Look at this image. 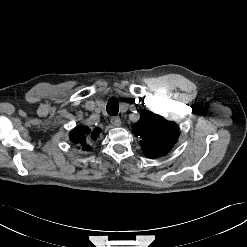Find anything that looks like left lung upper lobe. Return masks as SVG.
<instances>
[{
  "label": "left lung upper lobe",
  "instance_id": "left-lung-upper-lobe-1",
  "mask_svg": "<svg viewBox=\"0 0 247 247\" xmlns=\"http://www.w3.org/2000/svg\"><path fill=\"white\" fill-rule=\"evenodd\" d=\"M132 129L135 136L141 138L140 145L149 158L167 154L179 136V127L176 123L147 110L141 111L140 121Z\"/></svg>",
  "mask_w": 247,
  "mask_h": 247
}]
</instances>
